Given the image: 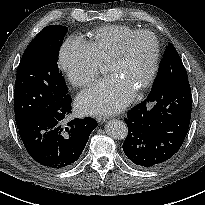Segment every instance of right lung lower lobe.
Masks as SVG:
<instances>
[{"label":"right lung lower lobe","mask_w":205,"mask_h":205,"mask_svg":"<svg viewBox=\"0 0 205 205\" xmlns=\"http://www.w3.org/2000/svg\"><path fill=\"white\" fill-rule=\"evenodd\" d=\"M71 113V97L54 103L18 127L19 135L31 157L52 170L72 166L81 155L91 132L98 126L91 118L74 119L64 126Z\"/></svg>","instance_id":"98d812e1"}]
</instances>
